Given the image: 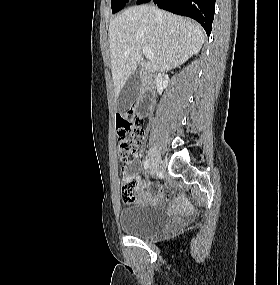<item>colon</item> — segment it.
Here are the masks:
<instances>
[{
	"label": "colon",
	"mask_w": 280,
	"mask_h": 285,
	"mask_svg": "<svg viewBox=\"0 0 280 285\" xmlns=\"http://www.w3.org/2000/svg\"><path fill=\"white\" fill-rule=\"evenodd\" d=\"M117 120L118 148L122 157L134 155L142 141L144 134L143 120L134 112L127 109L119 113ZM136 181L131 176L123 179L122 197L126 203H132L136 199Z\"/></svg>",
	"instance_id": "obj_1"
}]
</instances>
